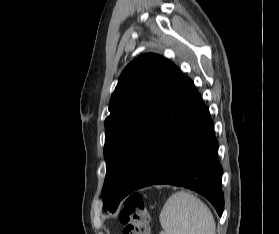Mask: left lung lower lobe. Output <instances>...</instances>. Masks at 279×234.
Returning a JSON list of instances; mask_svg holds the SVG:
<instances>
[{
    "label": "left lung lower lobe",
    "instance_id": "obj_1",
    "mask_svg": "<svg viewBox=\"0 0 279 234\" xmlns=\"http://www.w3.org/2000/svg\"><path fill=\"white\" fill-rule=\"evenodd\" d=\"M208 108L193 82L175 72L140 144L120 197L153 184H171L205 196L223 213L222 167Z\"/></svg>",
    "mask_w": 279,
    "mask_h": 234
}]
</instances>
